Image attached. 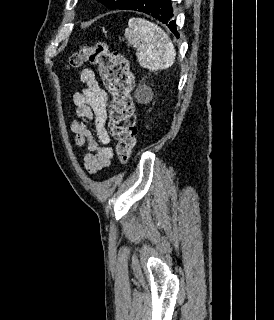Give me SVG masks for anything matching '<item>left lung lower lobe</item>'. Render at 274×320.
Instances as JSON below:
<instances>
[{
	"label": "left lung lower lobe",
	"mask_w": 274,
	"mask_h": 320,
	"mask_svg": "<svg viewBox=\"0 0 274 320\" xmlns=\"http://www.w3.org/2000/svg\"><path fill=\"white\" fill-rule=\"evenodd\" d=\"M124 10H135L151 15L166 24L179 37L175 20H171L174 16L171 0H133Z\"/></svg>",
	"instance_id": "obj_1"
}]
</instances>
